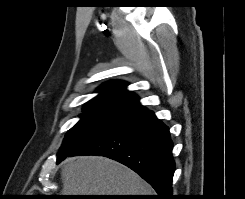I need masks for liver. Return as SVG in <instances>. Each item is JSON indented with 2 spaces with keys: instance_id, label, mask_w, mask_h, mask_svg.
Here are the masks:
<instances>
[{
  "instance_id": "obj_1",
  "label": "liver",
  "mask_w": 245,
  "mask_h": 199,
  "mask_svg": "<svg viewBox=\"0 0 245 199\" xmlns=\"http://www.w3.org/2000/svg\"><path fill=\"white\" fill-rule=\"evenodd\" d=\"M63 195H152V187L122 164L100 156L68 158Z\"/></svg>"
}]
</instances>
